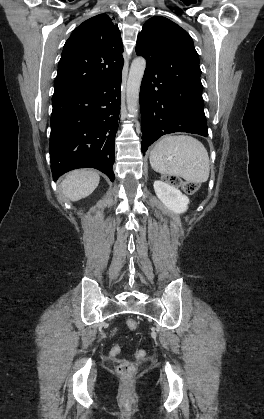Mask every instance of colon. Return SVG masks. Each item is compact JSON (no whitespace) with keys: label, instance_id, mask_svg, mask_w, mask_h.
I'll return each instance as SVG.
<instances>
[{"label":"colon","instance_id":"colon-1","mask_svg":"<svg viewBox=\"0 0 264 419\" xmlns=\"http://www.w3.org/2000/svg\"><path fill=\"white\" fill-rule=\"evenodd\" d=\"M165 181L175 185V186H180L186 193L192 194L195 193L198 190V184L194 183V182H190V181H183L180 178L176 177V176H165ZM127 326L130 330H135L138 327V323L136 320L134 319H129L127 321ZM135 355L138 358H144L146 356V351L143 349H139L136 351ZM117 371L120 375L124 376V377H129L131 376L134 371H135V367L128 362H124L121 363L118 367H117Z\"/></svg>","mask_w":264,"mask_h":419}]
</instances>
